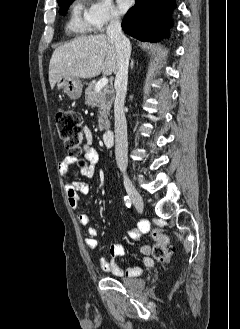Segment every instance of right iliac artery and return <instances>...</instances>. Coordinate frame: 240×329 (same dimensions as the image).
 <instances>
[{
    "mask_svg": "<svg viewBox=\"0 0 240 329\" xmlns=\"http://www.w3.org/2000/svg\"><path fill=\"white\" fill-rule=\"evenodd\" d=\"M124 202L127 207L131 206V199L129 198V196L124 197Z\"/></svg>",
    "mask_w": 240,
    "mask_h": 329,
    "instance_id": "82829eb1",
    "label": "right iliac artery"
}]
</instances>
